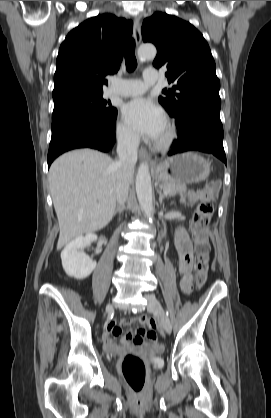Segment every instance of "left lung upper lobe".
<instances>
[{
	"instance_id": "left-lung-upper-lobe-1",
	"label": "left lung upper lobe",
	"mask_w": 271,
	"mask_h": 418,
	"mask_svg": "<svg viewBox=\"0 0 271 418\" xmlns=\"http://www.w3.org/2000/svg\"><path fill=\"white\" fill-rule=\"evenodd\" d=\"M142 38L157 47L156 68L167 67L173 84L164 89L159 102L171 117L200 109L220 111V81L210 48L202 34L189 22L156 12L143 22ZM176 91V92H175Z\"/></svg>"
}]
</instances>
